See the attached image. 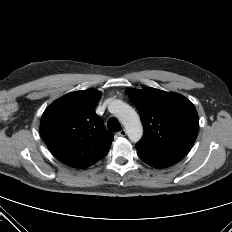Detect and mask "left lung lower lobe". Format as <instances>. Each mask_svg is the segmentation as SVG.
<instances>
[{"label": "left lung lower lobe", "mask_w": 232, "mask_h": 232, "mask_svg": "<svg viewBox=\"0 0 232 232\" xmlns=\"http://www.w3.org/2000/svg\"><path fill=\"white\" fill-rule=\"evenodd\" d=\"M138 156L148 165L155 168H165L172 166L182 159V156H169V157H151L138 154Z\"/></svg>", "instance_id": "left-lung-lower-lobe-1"}]
</instances>
